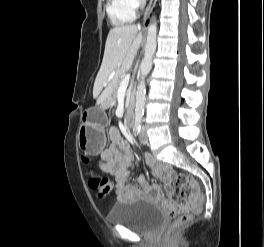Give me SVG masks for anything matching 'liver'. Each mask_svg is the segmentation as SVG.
<instances>
[{"label": "liver", "mask_w": 264, "mask_h": 247, "mask_svg": "<svg viewBox=\"0 0 264 247\" xmlns=\"http://www.w3.org/2000/svg\"><path fill=\"white\" fill-rule=\"evenodd\" d=\"M141 42L142 33L136 25L115 27L109 31L103 61L93 87L97 105L106 102L118 79L130 70ZM112 73L114 77L109 79ZM104 87L106 89L102 92Z\"/></svg>", "instance_id": "liver-1"}]
</instances>
